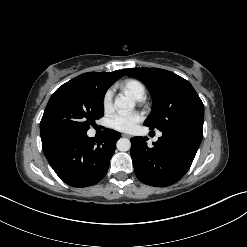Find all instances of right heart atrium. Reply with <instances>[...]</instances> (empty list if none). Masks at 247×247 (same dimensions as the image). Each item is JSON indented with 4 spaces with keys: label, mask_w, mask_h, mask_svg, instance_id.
<instances>
[{
    "label": "right heart atrium",
    "mask_w": 247,
    "mask_h": 247,
    "mask_svg": "<svg viewBox=\"0 0 247 247\" xmlns=\"http://www.w3.org/2000/svg\"><path fill=\"white\" fill-rule=\"evenodd\" d=\"M102 105L105 111H109L112 108V92L107 91L103 97Z\"/></svg>",
    "instance_id": "obj_1"
}]
</instances>
